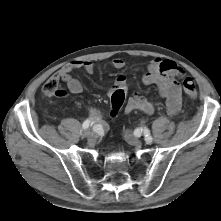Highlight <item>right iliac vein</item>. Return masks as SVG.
Instances as JSON below:
<instances>
[{
	"label": "right iliac vein",
	"instance_id": "1",
	"mask_svg": "<svg viewBox=\"0 0 221 221\" xmlns=\"http://www.w3.org/2000/svg\"><path fill=\"white\" fill-rule=\"evenodd\" d=\"M96 138H97L96 133H94V132L89 133V135H88V143L89 144H94L95 141H96Z\"/></svg>",
	"mask_w": 221,
	"mask_h": 221
}]
</instances>
